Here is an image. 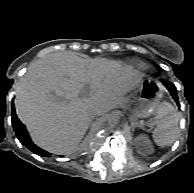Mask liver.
Masks as SVG:
<instances>
[{
	"label": "liver",
	"instance_id": "1",
	"mask_svg": "<svg viewBox=\"0 0 194 193\" xmlns=\"http://www.w3.org/2000/svg\"><path fill=\"white\" fill-rule=\"evenodd\" d=\"M140 82L141 76L119 61L55 52L31 64L19 80L15 108L36 145L68 154L77 148L94 114L116 107ZM85 85L89 96L79 97Z\"/></svg>",
	"mask_w": 194,
	"mask_h": 193
}]
</instances>
